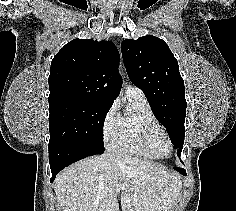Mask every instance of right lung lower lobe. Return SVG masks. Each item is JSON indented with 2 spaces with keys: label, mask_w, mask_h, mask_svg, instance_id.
Here are the masks:
<instances>
[{
  "label": "right lung lower lobe",
  "mask_w": 236,
  "mask_h": 211,
  "mask_svg": "<svg viewBox=\"0 0 236 211\" xmlns=\"http://www.w3.org/2000/svg\"><path fill=\"white\" fill-rule=\"evenodd\" d=\"M104 150L90 145H57L49 147V163L52 172L51 182L58 172L68 165L88 156L102 154Z\"/></svg>",
  "instance_id": "98d812e1"
}]
</instances>
